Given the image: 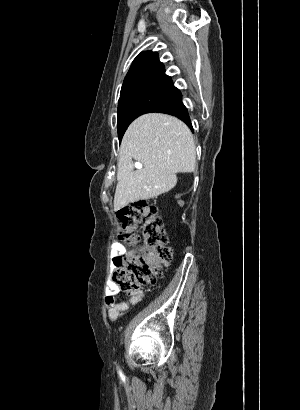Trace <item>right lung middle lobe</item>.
<instances>
[{"mask_svg": "<svg viewBox=\"0 0 300 410\" xmlns=\"http://www.w3.org/2000/svg\"><path fill=\"white\" fill-rule=\"evenodd\" d=\"M120 96L117 121L119 141L134 119L172 104L181 97V93L172 82H161L132 85L122 89Z\"/></svg>", "mask_w": 300, "mask_h": 410, "instance_id": "1", "label": "right lung middle lobe"}]
</instances>
